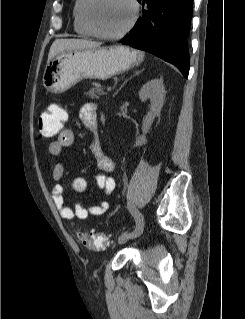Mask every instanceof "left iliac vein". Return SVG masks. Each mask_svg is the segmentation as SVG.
Returning a JSON list of instances; mask_svg holds the SVG:
<instances>
[{"instance_id": "left-iliac-vein-1", "label": "left iliac vein", "mask_w": 245, "mask_h": 319, "mask_svg": "<svg viewBox=\"0 0 245 319\" xmlns=\"http://www.w3.org/2000/svg\"><path fill=\"white\" fill-rule=\"evenodd\" d=\"M142 232V231H141ZM141 232H138V231H134L133 233L131 234H128V232H124L120 235L119 239H118V243L119 244H124L126 243L129 239L131 238H135L137 236H139L141 234Z\"/></svg>"}]
</instances>
